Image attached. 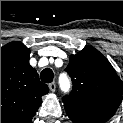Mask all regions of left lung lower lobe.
<instances>
[{
	"mask_svg": "<svg viewBox=\"0 0 123 123\" xmlns=\"http://www.w3.org/2000/svg\"><path fill=\"white\" fill-rule=\"evenodd\" d=\"M69 118L73 121V123H104L103 121H100L98 119L90 118L81 114H77Z\"/></svg>",
	"mask_w": 123,
	"mask_h": 123,
	"instance_id": "left-lung-lower-lobe-1",
	"label": "left lung lower lobe"
}]
</instances>
